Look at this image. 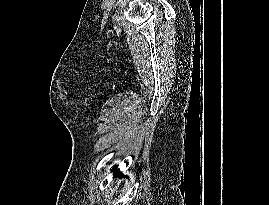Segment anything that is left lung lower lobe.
Returning <instances> with one entry per match:
<instances>
[{
  "mask_svg": "<svg viewBox=\"0 0 269 205\" xmlns=\"http://www.w3.org/2000/svg\"><path fill=\"white\" fill-rule=\"evenodd\" d=\"M116 168H117V166H114V167H113L114 174H115V175H121L120 171L117 170Z\"/></svg>",
  "mask_w": 269,
  "mask_h": 205,
  "instance_id": "1",
  "label": "left lung lower lobe"
}]
</instances>
